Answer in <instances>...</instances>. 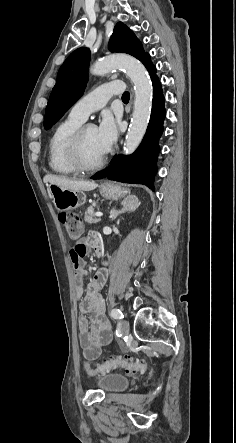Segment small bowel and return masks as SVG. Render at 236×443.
Masks as SVG:
<instances>
[{"label": "small bowel", "instance_id": "1", "mask_svg": "<svg viewBox=\"0 0 236 443\" xmlns=\"http://www.w3.org/2000/svg\"><path fill=\"white\" fill-rule=\"evenodd\" d=\"M77 246H83L86 253L87 246L97 251L101 248V242L94 232H89L74 247ZM79 263V268L75 269V294L82 312L77 319L79 344L86 355L94 360L100 355L102 347L109 344L112 338L110 324L105 315V301L100 293L107 282L108 270L102 268L96 272L85 288L84 280L87 272L82 259Z\"/></svg>", "mask_w": 236, "mask_h": 443}]
</instances>
